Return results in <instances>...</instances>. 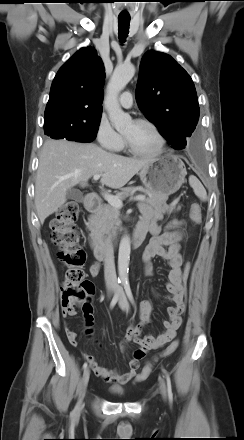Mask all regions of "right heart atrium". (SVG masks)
<instances>
[{
	"mask_svg": "<svg viewBox=\"0 0 244 440\" xmlns=\"http://www.w3.org/2000/svg\"><path fill=\"white\" fill-rule=\"evenodd\" d=\"M96 140L101 147L116 151L123 145L122 136L115 131L107 117L102 116L96 128Z\"/></svg>",
	"mask_w": 244,
	"mask_h": 440,
	"instance_id": "d8ad5b80",
	"label": "right heart atrium"
}]
</instances>
